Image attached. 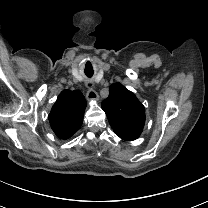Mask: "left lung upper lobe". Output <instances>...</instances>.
<instances>
[{
    "instance_id": "5c2ea615",
    "label": "left lung upper lobe",
    "mask_w": 208,
    "mask_h": 208,
    "mask_svg": "<svg viewBox=\"0 0 208 208\" xmlns=\"http://www.w3.org/2000/svg\"><path fill=\"white\" fill-rule=\"evenodd\" d=\"M112 129L119 132L141 134L145 124V108L135 94L122 84L109 88V96L102 104Z\"/></svg>"
}]
</instances>
